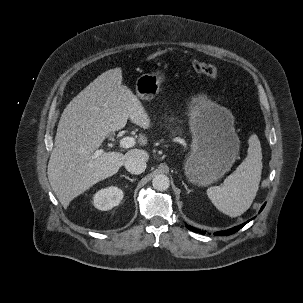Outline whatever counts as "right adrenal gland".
Segmentation results:
<instances>
[{"label":"right adrenal gland","mask_w":303,"mask_h":303,"mask_svg":"<svg viewBox=\"0 0 303 303\" xmlns=\"http://www.w3.org/2000/svg\"><path fill=\"white\" fill-rule=\"evenodd\" d=\"M122 177L126 178L127 180H129V181H131V182H133V181L136 180V178L131 179L130 177H128V176H126V175H123Z\"/></svg>","instance_id":"1"}]
</instances>
